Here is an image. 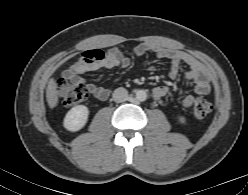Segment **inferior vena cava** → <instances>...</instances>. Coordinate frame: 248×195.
<instances>
[{
	"label": "inferior vena cava",
	"instance_id": "obj_1",
	"mask_svg": "<svg viewBox=\"0 0 248 195\" xmlns=\"http://www.w3.org/2000/svg\"><path fill=\"white\" fill-rule=\"evenodd\" d=\"M128 98V91L125 88H117L113 92V100L117 103L124 102Z\"/></svg>",
	"mask_w": 248,
	"mask_h": 195
}]
</instances>
